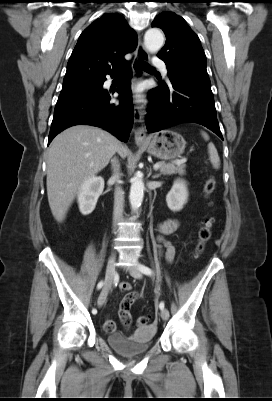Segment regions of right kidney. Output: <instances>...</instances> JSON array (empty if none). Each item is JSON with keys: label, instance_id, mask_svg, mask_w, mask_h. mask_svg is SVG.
Segmentation results:
<instances>
[{"label": "right kidney", "instance_id": "ca27d5eb", "mask_svg": "<svg viewBox=\"0 0 272 401\" xmlns=\"http://www.w3.org/2000/svg\"><path fill=\"white\" fill-rule=\"evenodd\" d=\"M103 189L104 179L100 176H91L81 184L78 192V205L83 215L93 212Z\"/></svg>", "mask_w": 272, "mask_h": 401}]
</instances>
